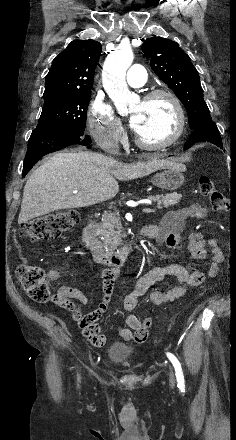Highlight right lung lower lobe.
Instances as JSON below:
<instances>
[{"label":"right lung lower lobe","mask_w":236,"mask_h":440,"mask_svg":"<svg viewBox=\"0 0 236 440\" xmlns=\"http://www.w3.org/2000/svg\"><path fill=\"white\" fill-rule=\"evenodd\" d=\"M91 138L78 130H34L28 142V149L24 160L22 176L44 155L58 151L72 144L87 146ZM88 148H90L88 146Z\"/></svg>","instance_id":"right-lung-lower-lobe-1"}]
</instances>
